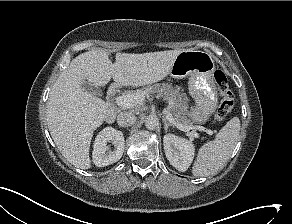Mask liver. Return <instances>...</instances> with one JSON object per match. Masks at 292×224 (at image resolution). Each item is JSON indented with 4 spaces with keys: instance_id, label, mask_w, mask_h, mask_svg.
Segmentation results:
<instances>
[{
    "instance_id": "liver-1",
    "label": "liver",
    "mask_w": 292,
    "mask_h": 224,
    "mask_svg": "<svg viewBox=\"0 0 292 224\" xmlns=\"http://www.w3.org/2000/svg\"><path fill=\"white\" fill-rule=\"evenodd\" d=\"M181 50L143 54L116 53L113 64L106 50H92L75 57L54 83L47 102V124L62 155L77 168H91L90 144L94 131L108 120L112 107L84 91L87 80L106 86L139 87L165 78Z\"/></svg>"
}]
</instances>
